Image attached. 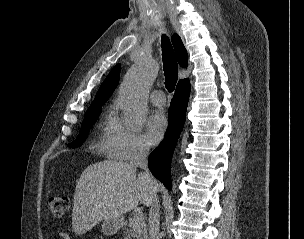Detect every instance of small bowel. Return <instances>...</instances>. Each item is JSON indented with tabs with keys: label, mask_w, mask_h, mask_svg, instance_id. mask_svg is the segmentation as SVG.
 I'll use <instances>...</instances> for the list:
<instances>
[{
	"label": "small bowel",
	"mask_w": 304,
	"mask_h": 239,
	"mask_svg": "<svg viewBox=\"0 0 304 239\" xmlns=\"http://www.w3.org/2000/svg\"><path fill=\"white\" fill-rule=\"evenodd\" d=\"M58 238H60V239H70V237L68 236V234L65 233V232H59L58 233Z\"/></svg>",
	"instance_id": "small-bowel-1"
}]
</instances>
